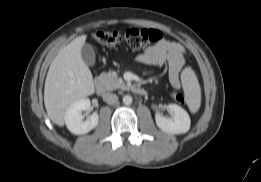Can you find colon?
<instances>
[{
  "label": "colon",
  "mask_w": 261,
  "mask_h": 182,
  "mask_svg": "<svg viewBox=\"0 0 261 182\" xmlns=\"http://www.w3.org/2000/svg\"><path fill=\"white\" fill-rule=\"evenodd\" d=\"M163 35L156 29L129 28L123 32L97 31L93 33L94 40L104 46L116 47L125 44L132 50L148 48L161 41ZM178 102H183L184 97L179 93L173 94Z\"/></svg>",
  "instance_id": "colon-1"
}]
</instances>
